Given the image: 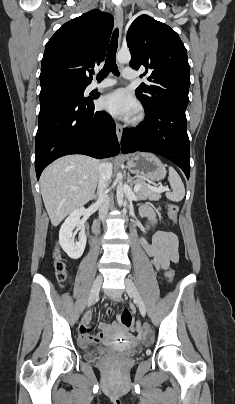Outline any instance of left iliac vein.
<instances>
[{"label":"left iliac vein","mask_w":235,"mask_h":404,"mask_svg":"<svg viewBox=\"0 0 235 404\" xmlns=\"http://www.w3.org/2000/svg\"><path fill=\"white\" fill-rule=\"evenodd\" d=\"M125 286H126V291L130 297H132L137 304L140 313L144 316L146 314V307L144 304L143 299L141 298L136 285L130 278H125Z\"/></svg>","instance_id":"4c4485c4"}]
</instances>
